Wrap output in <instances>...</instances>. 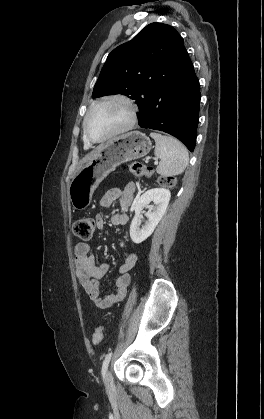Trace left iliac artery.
Segmentation results:
<instances>
[{
  "label": "left iliac artery",
  "mask_w": 264,
  "mask_h": 419,
  "mask_svg": "<svg viewBox=\"0 0 264 419\" xmlns=\"http://www.w3.org/2000/svg\"><path fill=\"white\" fill-rule=\"evenodd\" d=\"M111 356H112V352H109L106 356H105V359H104V361H103V364H102V376H103V378H105V374H106V371H107V368H108V365H109V362H110V359H111Z\"/></svg>",
  "instance_id": "44dca946"
}]
</instances>
